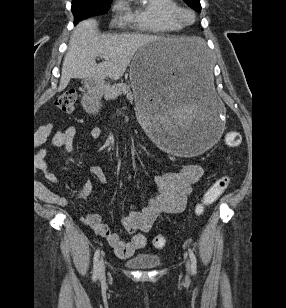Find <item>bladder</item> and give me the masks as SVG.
I'll list each match as a JSON object with an SVG mask.
<instances>
[{
    "label": "bladder",
    "mask_w": 286,
    "mask_h": 308,
    "mask_svg": "<svg viewBox=\"0 0 286 308\" xmlns=\"http://www.w3.org/2000/svg\"><path fill=\"white\" fill-rule=\"evenodd\" d=\"M126 263L133 269H153L160 265L161 259L157 255L139 253L128 258Z\"/></svg>",
    "instance_id": "bladder-1"
}]
</instances>
